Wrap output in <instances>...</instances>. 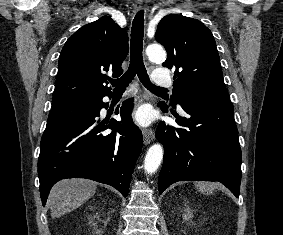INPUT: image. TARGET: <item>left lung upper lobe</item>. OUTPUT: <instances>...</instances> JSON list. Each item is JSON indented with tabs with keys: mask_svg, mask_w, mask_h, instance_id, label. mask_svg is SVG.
Listing matches in <instances>:
<instances>
[{
	"mask_svg": "<svg viewBox=\"0 0 283 235\" xmlns=\"http://www.w3.org/2000/svg\"><path fill=\"white\" fill-rule=\"evenodd\" d=\"M155 38L167 51L163 66L176 69L171 96L174 107L181 101L231 104L214 37L202 22L169 14L158 24Z\"/></svg>",
	"mask_w": 283,
	"mask_h": 235,
	"instance_id": "5c2ea615",
	"label": "left lung upper lobe"
}]
</instances>
